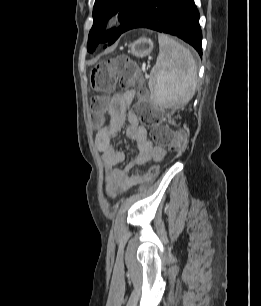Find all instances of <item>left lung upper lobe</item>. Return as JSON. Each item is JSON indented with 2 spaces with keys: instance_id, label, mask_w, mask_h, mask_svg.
<instances>
[{
  "instance_id": "5c2ea615",
  "label": "left lung upper lobe",
  "mask_w": 261,
  "mask_h": 306,
  "mask_svg": "<svg viewBox=\"0 0 261 306\" xmlns=\"http://www.w3.org/2000/svg\"><path fill=\"white\" fill-rule=\"evenodd\" d=\"M145 0H95L93 7L94 23L88 37V52H93L99 42L114 43L138 12ZM119 13L122 24L118 29L104 31L106 21ZM106 47V46H105Z\"/></svg>"
}]
</instances>
